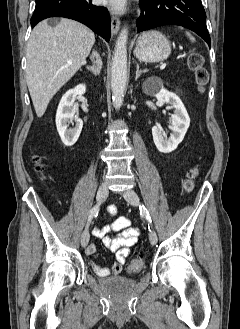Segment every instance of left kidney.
Returning a JSON list of instances; mask_svg holds the SVG:
<instances>
[{
    "mask_svg": "<svg viewBox=\"0 0 240 329\" xmlns=\"http://www.w3.org/2000/svg\"><path fill=\"white\" fill-rule=\"evenodd\" d=\"M143 90L145 93L155 96L160 103L170 104L174 108V114L171 115L170 121L172 133L168 139L163 138L157 126L152 128L156 148L162 153H170L182 142L190 125L189 115L181 99L176 94L166 90L160 78H149L143 84Z\"/></svg>",
    "mask_w": 240,
    "mask_h": 329,
    "instance_id": "1",
    "label": "left kidney"
}]
</instances>
